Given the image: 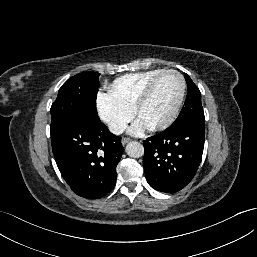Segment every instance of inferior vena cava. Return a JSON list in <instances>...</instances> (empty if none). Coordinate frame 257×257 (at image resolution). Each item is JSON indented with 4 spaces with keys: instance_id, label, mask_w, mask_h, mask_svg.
<instances>
[{
    "instance_id": "602c4592",
    "label": "inferior vena cava",
    "mask_w": 257,
    "mask_h": 257,
    "mask_svg": "<svg viewBox=\"0 0 257 257\" xmlns=\"http://www.w3.org/2000/svg\"><path fill=\"white\" fill-rule=\"evenodd\" d=\"M126 127H127L126 123L120 122V121H111L108 124V129L110 130L111 133L115 135L122 134L126 129Z\"/></svg>"
}]
</instances>
